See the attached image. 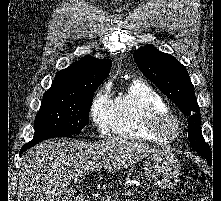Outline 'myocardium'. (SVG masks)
<instances>
[{"mask_svg": "<svg viewBox=\"0 0 221 201\" xmlns=\"http://www.w3.org/2000/svg\"><path fill=\"white\" fill-rule=\"evenodd\" d=\"M146 130L167 141L177 139L182 133V124L177 115L168 110L155 111L145 121Z\"/></svg>", "mask_w": 221, "mask_h": 201, "instance_id": "obj_1", "label": "myocardium"}]
</instances>
